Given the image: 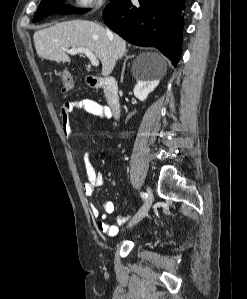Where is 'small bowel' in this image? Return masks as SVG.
Listing matches in <instances>:
<instances>
[{"label":"small bowel","instance_id":"obj_1","mask_svg":"<svg viewBox=\"0 0 247 299\" xmlns=\"http://www.w3.org/2000/svg\"><path fill=\"white\" fill-rule=\"evenodd\" d=\"M82 110L91 115L97 116L101 119H107L111 116L110 109L99 102L92 99H78L74 101H67L61 107V125L65 137L72 141L74 139V131L70 123V115L73 111ZM84 167L87 180L83 184V193L85 196L90 197L94 194L95 189L104 184V178L100 172L96 170L92 163L91 154L87 153L84 156ZM103 212L94 204L90 205V212L96 221V225L100 231L108 236H115L118 232L117 225L125 224L129 216L119 215L116 218L117 225H110L107 222L109 214L115 210V205L112 201H105L102 205Z\"/></svg>","mask_w":247,"mask_h":299}]
</instances>
